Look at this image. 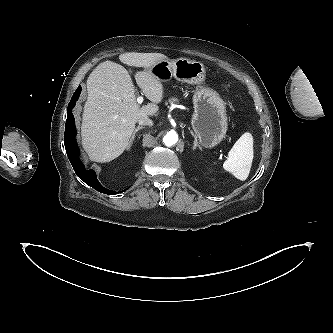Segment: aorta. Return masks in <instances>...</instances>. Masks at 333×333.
I'll return each instance as SVG.
<instances>
[{
	"label": "aorta",
	"mask_w": 333,
	"mask_h": 333,
	"mask_svg": "<svg viewBox=\"0 0 333 333\" xmlns=\"http://www.w3.org/2000/svg\"><path fill=\"white\" fill-rule=\"evenodd\" d=\"M163 142L166 146L170 147L172 145H175L178 142V135L176 132L174 131H170L168 132L164 138H163Z\"/></svg>",
	"instance_id": "1"
}]
</instances>
